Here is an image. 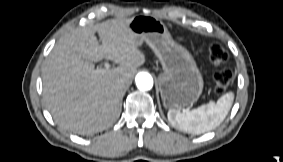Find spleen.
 <instances>
[{
	"instance_id": "1",
	"label": "spleen",
	"mask_w": 283,
	"mask_h": 162,
	"mask_svg": "<svg viewBox=\"0 0 283 162\" xmlns=\"http://www.w3.org/2000/svg\"><path fill=\"white\" fill-rule=\"evenodd\" d=\"M234 101V93L228 92L216 103L202 105L191 111L170 109L167 113L169 122L175 128L192 133L201 134L219 126L226 118Z\"/></svg>"
}]
</instances>
